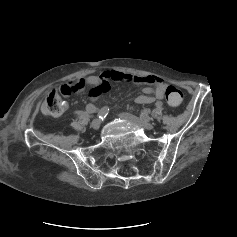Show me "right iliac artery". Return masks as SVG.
Segmentation results:
<instances>
[{"label": "right iliac artery", "instance_id": "right-iliac-artery-1", "mask_svg": "<svg viewBox=\"0 0 237 237\" xmlns=\"http://www.w3.org/2000/svg\"><path fill=\"white\" fill-rule=\"evenodd\" d=\"M109 112V108L107 106L101 108V110H99V112L97 113V117L99 119H104ZM75 114L81 118H85V117H89L90 114L86 111H75Z\"/></svg>", "mask_w": 237, "mask_h": 237}]
</instances>
